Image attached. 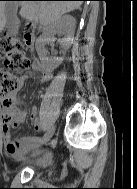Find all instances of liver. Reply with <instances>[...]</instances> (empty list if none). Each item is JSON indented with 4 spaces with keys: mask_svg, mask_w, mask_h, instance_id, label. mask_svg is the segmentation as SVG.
<instances>
[{
    "mask_svg": "<svg viewBox=\"0 0 137 189\" xmlns=\"http://www.w3.org/2000/svg\"><path fill=\"white\" fill-rule=\"evenodd\" d=\"M9 4L10 2L0 1V32L7 22L6 7ZM81 5V1H22L20 15L39 23L40 28L45 29L61 15L79 9Z\"/></svg>",
    "mask_w": 137,
    "mask_h": 189,
    "instance_id": "obj_1",
    "label": "liver"
}]
</instances>
